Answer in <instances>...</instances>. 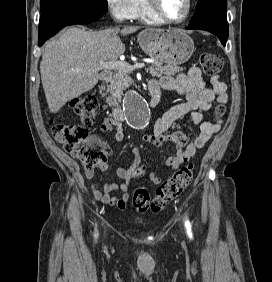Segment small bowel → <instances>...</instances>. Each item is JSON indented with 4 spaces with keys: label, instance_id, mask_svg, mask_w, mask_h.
Returning a JSON list of instances; mask_svg holds the SVG:
<instances>
[{
    "label": "small bowel",
    "instance_id": "small-bowel-1",
    "mask_svg": "<svg viewBox=\"0 0 272 282\" xmlns=\"http://www.w3.org/2000/svg\"><path fill=\"white\" fill-rule=\"evenodd\" d=\"M163 90L174 91L185 98L183 103L177 104L169 112L161 116L155 123L153 133L142 137L143 141L162 146L165 142L173 141L178 146L177 155L169 157L166 165L177 169L181 164L192 159L197 149L203 148L210 140L214 132L218 131L221 121L216 119L213 122L204 121L201 111H209L213 102L226 103L228 101L227 85L220 81L217 76L210 79L211 86H207L199 68L192 67L187 74H180L176 78L162 77L159 81ZM190 114L191 120L200 127V134L195 139H188L179 132L171 131V125L175 119ZM104 132L114 131L117 141L124 139V127L119 121L107 118L101 125ZM91 140H100L98 136H90ZM134 159L131 168L116 166V173L121 183L105 184L102 189L98 184L92 182L91 189L96 199L105 204L125 210L129 201V180L135 170L142 166L141 157L137 148L133 149ZM111 156L110 149H107L106 158ZM85 178L92 180L94 170L86 169ZM153 184H160L162 178L154 173L149 176ZM120 193L115 195V191Z\"/></svg>",
    "mask_w": 272,
    "mask_h": 282
}]
</instances>
